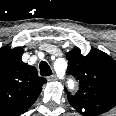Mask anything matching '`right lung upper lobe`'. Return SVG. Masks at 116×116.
I'll list each match as a JSON object with an SVG mask.
<instances>
[{"label":"right lung upper lobe","instance_id":"cb5924a9","mask_svg":"<svg viewBox=\"0 0 116 116\" xmlns=\"http://www.w3.org/2000/svg\"><path fill=\"white\" fill-rule=\"evenodd\" d=\"M23 49H0V116H20L37 100L42 85L34 66L21 60Z\"/></svg>","mask_w":116,"mask_h":116}]
</instances>
